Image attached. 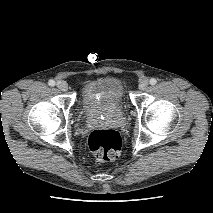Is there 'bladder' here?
<instances>
[{
	"mask_svg": "<svg viewBox=\"0 0 213 213\" xmlns=\"http://www.w3.org/2000/svg\"><path fill=\"white\" fill-rule=\"evenodd\" d=\"M125 99L123 82L116 77H104L87 82L81 90V106L88 115L115 111Z\"/></svg>",
	"mask_w": 213,
	"mask_h": 213,
	"instance_id": "31cf9c89",
	"label": "bladder"
}]
</instances>
